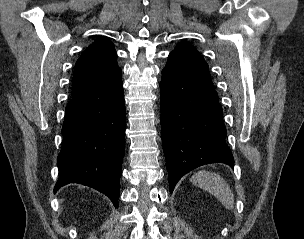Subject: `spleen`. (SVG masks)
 <instances>
[{
  "label": "spleen",
  "instance_id": "1",
  "mask_svg": "<svg viewBox=\"0 0 304 239\" xmlns=\"http://www.w3.org/2000/svg\"><path fill=\"white\" fill-rule=\"evenodd\" d=\"M191 182L214 195L226 209L233 210V192L228 183L218 174L202 170L191 177Z\"/></svg>",
  "mask_w": 304,
  "mask_h": 239
}]
</instances>
